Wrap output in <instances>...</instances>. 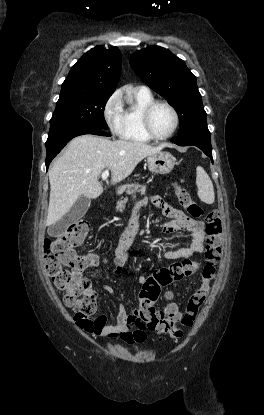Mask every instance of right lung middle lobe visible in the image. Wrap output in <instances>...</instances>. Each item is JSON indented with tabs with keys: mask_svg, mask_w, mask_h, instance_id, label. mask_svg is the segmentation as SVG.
<instances>
[{
	"mask_svg": "<svg viewBox=\"0 0 264 415\" xmlns=\"http://www.w3.org/2000/svg\"><path fill=\"white\" fill-rule=\"evenodd\" d=\"M111 94L60 95L50 120L46 146L74 132L107 129L104 108Z\"/></svg>",
	"mask_w": 264,
	"mask_h": 415,
	"instance_id": "1",
	"label": "right lung middle lobe"
}]
</instances>
